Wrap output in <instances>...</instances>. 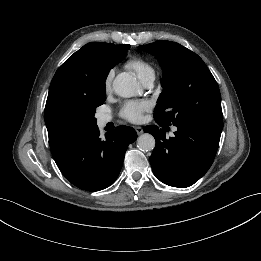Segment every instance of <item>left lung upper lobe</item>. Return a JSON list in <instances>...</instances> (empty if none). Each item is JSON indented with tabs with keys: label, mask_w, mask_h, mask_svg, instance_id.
I'll list each match as a JSON object with an SVG mask.
<instances>
[{
	"label": "left lung upper lobe",
	"mask_w": 261,
	"mask_h": 261,
	"mask_svg": "<svg viewBox=\"0 0 261 261\" xmlns=\"http://www.w3.org/2000/svg\"><path fill=\"white\" fill-rule=\"evenodd\" d=\"M159 59L162 86L154 118L162 125H223L218 84L203 60L189 49L170 41L139 46Z\"/></svg>",
	"instance_id": "1"
}]
</instances>
